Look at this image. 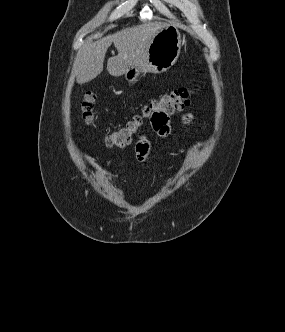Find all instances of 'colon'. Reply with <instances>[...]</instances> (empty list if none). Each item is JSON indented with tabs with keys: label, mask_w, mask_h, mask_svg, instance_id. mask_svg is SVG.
Instances as JSON below:
<instances>
[{
	"label": "colon",
	"mask_w": 285,
	"mask_h": 332,
	"mask_svg": "<svg viewBox=\"0 0 285 332\" xmlns=\"http://www.w3.org/2000/svg\"><path fill=\"white\" fill-rule=\"evenodd\" d=\"M192 93L193 90L191 88H180L159 96L145 106L140 115L134 116L124 125L109 133L105 137V145L109 148H123L127 146L142 128L144 122L148 121L150 111H172L173 115L190 104ZM95 101V94L93 92H87L81 103L82 118L87 125H92L93 123V107Z\"/></svg>",
	"instance_id": "1"
}]
</instances>
